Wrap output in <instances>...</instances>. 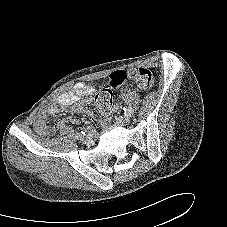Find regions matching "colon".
Here are the masks:
<instances>
[{"mask_svg":"<svg viewBox=\"0 0 227 227\" xmlns=\"http://www.w3.org/2000/svg\"><path fill=\"white\" fill-rule=\"evenodd\" d=\"M127 80L134 81L139 88L148 89L154 85L152 72L142 67H129L113 72L109 76L107 85L95 96V104L102 112H107L112 106L113 90Z\"/></svg>","mask_w":227,"mask_h":227,"instance_id":"1","label":"colon"}]
</instances>
